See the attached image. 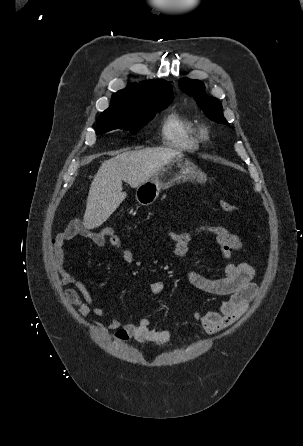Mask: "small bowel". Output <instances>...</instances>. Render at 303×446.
I'll return each mask as SVG.
<instances>
[{
    "instance_id": "c3829d8e",
    "label": "small bowel",
    "mask_w": 303,
    "mask_h": 446,
    "mask_svg": "<svg viewBox=\"0 0 303 446\" xmlns=\"http://www.w3.org/2000/svg\"><path fill=\"white\" fill-rule=\"evenodd\" d=\"M201 233L214 236L216 244L226 260L222 277L209 278L189 265L190 244L194 236ZM165 234L173 243L174 254L187 264L186 276L188 280L205 293L225 298L216 310L194 313L193 320L200 323L202 329L209 335L218 333L234 324L246 312L257 291V286L253 282V267L248 263H236L232 260L233 255L243 247L241 239L223 226L198 227L190 232L169 230ZM76 236L90 238L100 248L109 244L117 250L122 260L128 265L135 264V257L130 250L122 245L117 235L105 237L102 231L88 230L80 220L70 222L51 239V253L59 274V282L62 286H73L65 289L66 299L77 307L80 316L93 314L103 318L105 317L104 310L95 304L86 285L64 264V246ZM165 287L164 281L156 280L149 285V292L152 295H159ZM107 325L114 330V339L117 342L135 339L141 343L164 347L169 345L171 339V332L168 329L153 328L148 317L141 318L137 323L107 319Z\"/></svg>"
}]
</instances>
